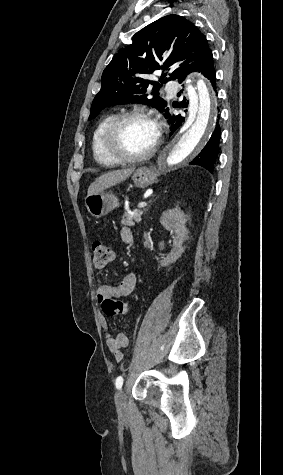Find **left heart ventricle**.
<instances>
[{"label":"left heart ventricle","instance_id":"1","mask_svg":"<svg viewBox=\"0 0 283 475\" xmlns=\"http://www.w3.org/2000/svg\"><path fill=\"white\" fill-rule=\"evenodd\" d=\"M157 137V125L149 118L126 120L119 128L116 141L108 149L111 157H138L145 154Z\"/></svg>","mask_w":283,"mask_h":475}]
</instances>
